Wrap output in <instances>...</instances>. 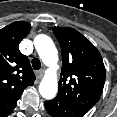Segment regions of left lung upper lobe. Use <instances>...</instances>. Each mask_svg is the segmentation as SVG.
I'll use <instances>...</instances> for the list:
<instances>
[{"label": "left lung upper lobe", "mask_w": 117, "mask_h": 117, "mask_svg": "<svg viewBox=\"0 0 117 117\" xmlns=\"http://www.w3.org/2000/svg\"><path fill=\"white\" fill-rule=\"evenodd\" d=\"M62 49L58 97L88 112L100 99L105 66L99 51L81 33L69 27H53Z\"/></svg>", "instance_id": "5c2ea615"}]
</instances>
